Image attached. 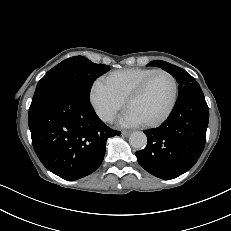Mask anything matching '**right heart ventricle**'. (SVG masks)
<instances>
[{"instance_id": "1", "label": "right heart ventricle", "mask_w": 231, "mask_h": 231, "mask_svg": "<svg viewBox=\"0 0 231 231\" xmlns=\"http://www.w3.org/2000/svg\"><path fill=\"white\" fill-rule=\"evenodd\" d=\"M154 69L127 68L109 73L102 78L105 86L118 98L125 101L134 88Z\"/></svg>"}]
</instances>
